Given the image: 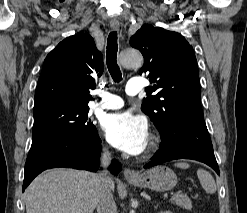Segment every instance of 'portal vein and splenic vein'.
I'll return each instance as SVG.
<instances>
[{
	"instance_id": "1",
	"label": "portal vein and splenic vein",
	"mask_w": 247,
	"mask_h": 213,
	"mask_svg": "<svg viewBox=\"0 0 247 213\" xmlns=\"http://www.w3.org/2000/svg\"><path fill=\"white\" fill-rule=\"evenodd\" d=\"M176 195H177V193H173L171 196V199L175 198Z\"/></svg>"
}]
</instances>
